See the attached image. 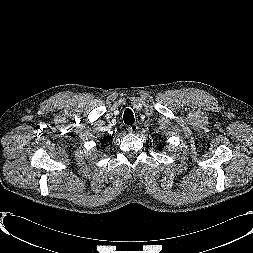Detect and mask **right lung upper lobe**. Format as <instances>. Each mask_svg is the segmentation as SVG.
<instances>
[{
	"instance_id": "obj_1",
	"label": "right lung upper lobe",
	"mask_w": 253,
	"mask_h": 253,
	"mask_svg": "<svg viewBox=\"0 0 253 253\" xmlns=\"http://www.w3.org/2000/svg\"><path fill=\"white\" fill-rule=\"evenodd\" d=\"M110 140H111L110 137H105V138L102 139V142L106 143V142H109Z\"/></svg>"
}]
</instances>
